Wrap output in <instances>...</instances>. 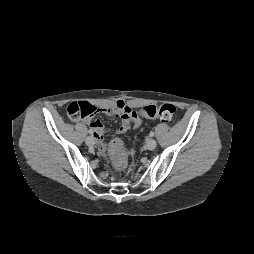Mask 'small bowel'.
Segmentation results:
<instances>
[{
  "mask_svg": "<svg viewBox=\"0 0 254 254\" xmlns=\"http://www.w3.org/2000/svg\"><path fill=\"white\" fill-rule=\"evenodd\" d=\"M99 111L107 116L119 117L121 119V124L118 128L119 134L126 133L130 128L138 129L142 124V120L137 112L122 100L117 101L112 107L100 108ZM89 126L91 132L98 141L99 151L104 153L107 147L105 142L107 130L99 119L90 120Z\"/></svg>",
  "mask_w": 254,
  "mask_h": 254,
  "instance_id": "1",
  "label": "small bowel"
}]
</instances>
